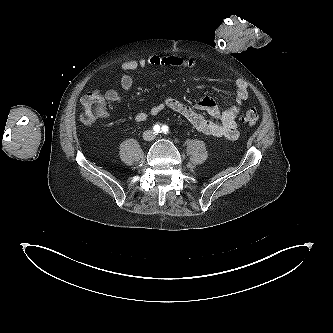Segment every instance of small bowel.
Returning a JSON list of instances; mask_svg holds the SVG:
<instances>
[{
  "label": "small bowel",
  "instance_id": "c3829d8e",
  "mask_svg": "<svg viewBox=\"0 0 333 333\" xmlns=\"http://www.w3.org/2000/svg\"><path fill=\"white\" fill-rule=\"evenodd\" d=\"M196 64L195 59H183L177 56H150L139 60H129L121 64L124 71L120 78L121 91L109 89L105 92L104 98L108 102H122L126 99L133 86V78L128 74L130 71L144 70L148 66H171L181 69H192ZM235 95L225 100L224 109H220L216 101L204 96L192 105L185 104L176 98L167 95L162 102L151 107L147 111L139 112L134 120L138 123L146 121L150 117L156 116L162 111L169 109L191 123L199 132L227 140H236L239 136L236 119L243 103L248 99L249 92L245 81L237 79L235 81ZM199 111H204L215 120H210Z\"/></svg>",
  "mask_w": 333,
  "mask_h": 333
}]
</instances>
